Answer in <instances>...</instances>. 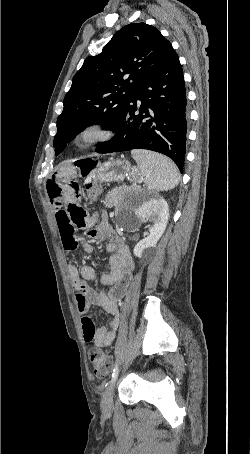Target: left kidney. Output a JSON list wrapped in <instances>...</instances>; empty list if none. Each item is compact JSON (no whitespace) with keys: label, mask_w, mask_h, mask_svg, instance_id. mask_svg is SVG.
<instances>
[{"label":"left kidney","mask_w":250,"mask_h":454,"mask_svg":"<svg viewBox=\"0 0 250 454\" xmlns=\"http://www.w3.org/2000/svg\"><path fill=\"white\" fill-rule=\"evenodd\" d=\"M139 224L149 221V236L139 241L134 247L133 253L137 257L153 252L158 240L164 233L168 218L169 208L163 198H151L135 210Z\"/></svg>","instance_id":"1"}]
</instances>
